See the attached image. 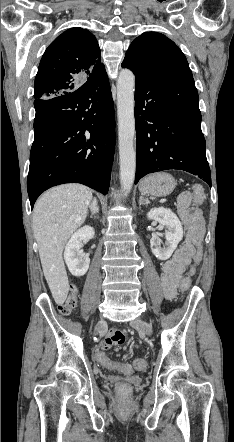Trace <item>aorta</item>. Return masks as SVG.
I'll use <instances>...</instances> for the list:
<instances>
[{"instance_id": "aorta-1", "label": "aorta", "mask_w": 234, "mask_h": 442, "mask_svg": "<svg viewBox=\"0 0 234 442\" xmlns=\"http://www.w3.org/2000/svg\"><path fill=\"white\" fill-rule=\"evenodd\" d=\"M134 88L133 72L129 69H122L117 79V115L120 181L121 188L126 195L133 186L136 170Z\"/></svg>"}]
</instances>
